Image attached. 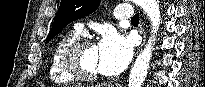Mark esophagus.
Wrapping results in <instances>:
<instances>
[{
    "label": "esophagus",
    "mask_w": 205,
    "mask_h": 87,
    "mask_svg": "<svg viewBox=\"0 0 205 87\" xmlns=\"http://www.w3.org/2000/svg\"><path fill=\"white\" fill-rule=\"evenodd\" d=\"M140 33L143 37V42H142V45H141V46H143L144 43H145V40H146V32H145V29L143 27L140 28Z\"/></svg>",
    "instance_id": "34e87169"
}]
</instances>
